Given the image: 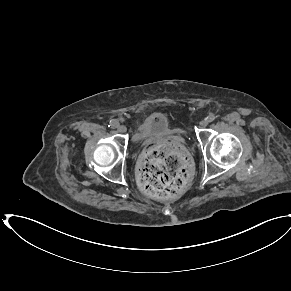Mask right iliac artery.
<instances>
[{"label":"right iliac artery","mask_w":291,"mask_h":291,"mask_svg":"<svg viewBox=\"0 0 291 291\" xmlns=\"http://www.w3.org/2000/svg\"><path fill=\"white\" fill-rule=\"evenodd\" d=\"M119 126V122L117 120H111L109 123V127L115 129Z\"/></svg>","instance_id":"1"}]
</instances>
